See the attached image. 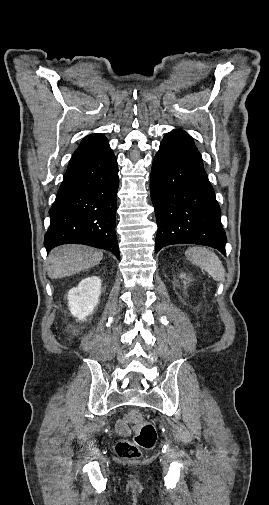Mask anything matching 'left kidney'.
I'll list each match as a JSON object with an SVG mask.
<instances>
[{
	"instance_id": "1",
	"label": "left kidney",
	"mask_w": 269,
	"mask_h": 505,
	"mask_svg": "<svg viewBox=\"0 0 269 505\" xmlns=\"http://www.w3.org/2000/svg\"><path fill=\"white\" fill-rule=\"evenodd\" d=\"M181 279H185L186 281H183V283L186 285L191 279L187 277L185 274L180 275Z\"/></svg>"
}]
</instances>
